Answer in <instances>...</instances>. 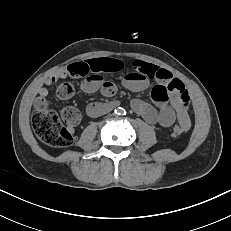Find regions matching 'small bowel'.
Returning a JSON list of instances; mask_svg holds the SVG:
<instances>
[{"mask_svg":"<svg viewBox=\"0 0 231 231\" xmlns=\"http://www.w3.org/2000/svg\"><path fill=\"white\" fill-rule=\"evenodd\" d=\"M74 64L80 67L81 76L85 77L81 89L85 93H94L100 90L105 96L114 95L117 87L113 82L106 81L103 75L120 72L125 68L123 61L104 57ZM67 76L68 71L65 68L58 70L47 78L44 85L38 89V96L34 102L35 108L47 105L48 86ZM151 81L155 82L151 90L153 104L134 99L131 102L133 110L150 124L170 127L177 120L189 130L191 127L189 117L190 96L184 84L175 78L171 72L154 64L134 61L130 65V70L122 77L123 86L134 92L145 90ZM109 108V104L91 103L86 107V113L89 116H96Z\"/></svg>","mask_w":231,"mask_h":231,"instance_id":"obj_1","label":"small bowel"}]
</instances>
